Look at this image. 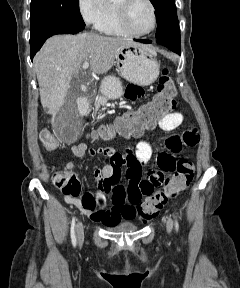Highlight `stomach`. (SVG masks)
<instances>
[{
  "label": "stomach",
  "instance_id": "1",
  "mask_svg": "<svg viewBox=\"0 0 240 288\" xmlns=\"http://www.w3.org/2000/svg\"><path fill=\"white\" fill-rule=\"evenodd\" d=\"M115 63L121 75L135 85H150L159 75L156 53L146 46L120 47ZM100 90L109 99L119 98L123 94L121 82L114 76L104 78Z\"/></svg>",
  "mask_w": 240,
  "mask_h": 288
}]
</instances>
